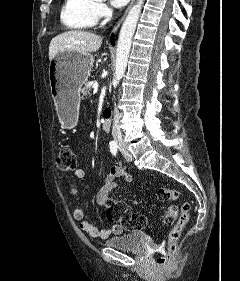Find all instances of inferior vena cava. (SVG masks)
I'll list each match as a JSON object with an SVG mask.
<instances>
[{
	"label": "inferior vena cava",
	"instance_id": "602c4592",
	"mask_svg": "<svg viewBox=\"0 0 240 281\" xmlns=\"http://www.w3.org/2000/svg\"><path fill=\"white\" fill-rule=\"evenodd\" d=\"M119 120H120V114H119L118 109L115 108L114 112H113L112 136H113V139L118 144H122L123 139H122V133H121L120 126H119Z\"/></svg>",
	"mask_w": 240,
	"mask_h": 281
}]
</instances>
